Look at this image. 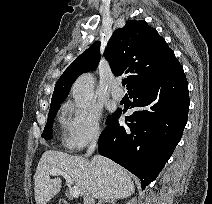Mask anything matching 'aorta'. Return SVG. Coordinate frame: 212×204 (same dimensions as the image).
I'll use <instances>...</instances> for the list:
<instances>
[{
	"label": "aorta",
	"instance_id": "1",
	"mask_svg": "<svg viewBox=\"0 0 212 204\" xmlns=\"http://www.w3.org/2000/svg\"><path fill=\"white\" fill-rule=\"evenodd\" d=\"M94 78L91 74L81 75L72 87V96L76 106L88 108L93 98Z\"/></svg>",
	"mask_w": 212,
	"mask_h": 204
}]
</instances>
